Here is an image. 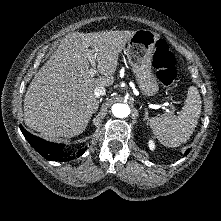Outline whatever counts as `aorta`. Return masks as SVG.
Listing matches in <instances>:
<instances>
[{
  "label": "aorta",
  "mask_w": 221,
  "mask_h": 221,
  "mask_svg": "<svg viewBox=\"0 0 221 221\" xmlns=\"http://www.w3.org/2000/svg\"><path fill=\"white\" fill-rule=\"evenodd\" d=\"M111 110L117 118H126L130 114V107L127 104L116 103Z\"/></svg>",
  "instance_id": "aorta-1"
}]
</instances>
